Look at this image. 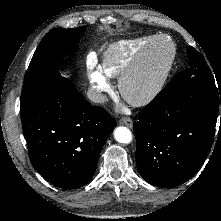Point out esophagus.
Returning <instances> with one entry per match:
<instances>
[{
  "label": "esophagus",
  "mask_w": 221,
  "mask_h": 221,
  "mask_svg": "<svg viewBox=\"0 0 221 221\" xmlns=\"http://www.w3.org/2000/svg\"><path fill=\"white\" fill-rule=\"evenodd\" d=\"M119 123H120L121 125H125V126H127V127H129V128H131V127L133 126V121H132V119H131V118H128V117H123V118H121V119L119 120Z\"/></svg>",
  "instance_id": "1"
}]
</instances>
